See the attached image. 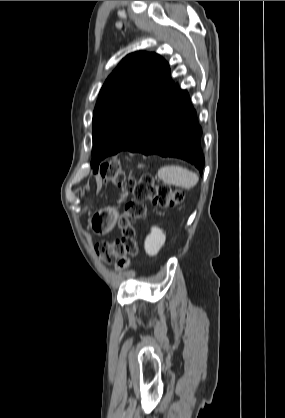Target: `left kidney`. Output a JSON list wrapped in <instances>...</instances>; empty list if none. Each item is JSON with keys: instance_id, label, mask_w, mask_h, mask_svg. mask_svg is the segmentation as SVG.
Returning a JSON list of instances; mask_svg holds the SVG:
<instances>
[{"instance_id": "1", "label": "left kidney", "mask_w": 285, "mask_h": 418, "mask_svg": "<svg viewBox=\"0 0 285 418\" xmlns=\"http://www.w3.org/2000/svg\"><path fill=\"white\" fill-rule=\"evenodd\" d=\"M166 240V236L162 229L159 227L153 226L151 228V232L149 235H147L145 242H144V248L146 253L149 256H155L161 249V247L164 245Z\"/></svg>"}]
</instances>
